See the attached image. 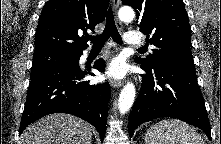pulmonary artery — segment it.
Instances as JSON below:
<instances>
[{"mask_svg": "<svg viewBox=\"0 0 221 144\" xmlns=\"http://www.w3.org/2000/svg\"><path fill=\"white\" fill-rule=\"evenodd\" d=\"M125 42L129 45L133 46H141L143 45V41L140 35L135 31H129L125 34Z\"/></svg>", "mask_w": 221, "mask_h": 144, "instance_id": "pulmonary-artery-1", "label": "pulmonary artery"}]
</instances>
